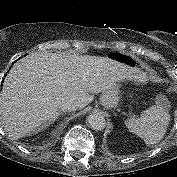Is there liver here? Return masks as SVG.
Listing matches in <instances>:
<instances>
[{
  "mask_svg": "<svg viewBox=\"0 0 177 177\" xmlns=\"http://www.w3.org/2000/svg\"><path fill=\"white\" fill-rule=\"evenodd\" d=\"M144 76L136 67L108 57L31 53L15 62L4 80L2 126L13 139L37 133L56 119L61 103L84 108L93 94Z\"/></svg>",
  "mask_w": 177,
  "mask_h": 177,
  "instance_id": "obj_1",
  "label": "liver"
}]
</instances>
